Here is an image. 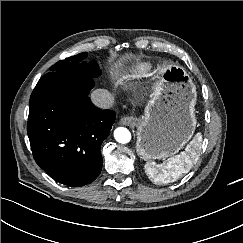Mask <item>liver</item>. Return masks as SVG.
Instances as JSON below:
<instances>
[{"label": "liver", "mask_w": 243, "mask_h": 243, "mask_svg": "<svg viewBox=\"0 0 243 243\" xmlns=\"http://www.w3.org/2000/svg\"><path fill=\"white\" fill-rule=\"evenodd\" d=\"M130 57H133V55H131V54H129V55H128V54H126V55H125V56H123L122 58H123V59H127V58H130ZM119 64H121V63H119Z\"/></svg>", "instance_id": "6515ba94"}]
</instances>
